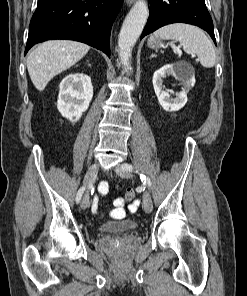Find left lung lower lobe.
Masks as SVG:
<instances>
[{"mask_svg": "<svg viewBox=\"0 0 247 296\" xmlns=\"http://www.w3.org/2000/svg\"><path fill=\"white\" fill-rule=\"evenodd\" d=\"M150 15L141 39L158 28L171 23H188L209 33L216 44L213 22L205 0H148Z\"/></svg>", "mask_w": 247, "mask_h": 296, "instance_id": "1", "label": "left lung lower lobe"}]
</instances>
